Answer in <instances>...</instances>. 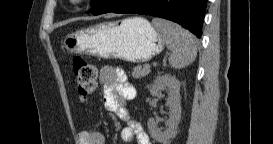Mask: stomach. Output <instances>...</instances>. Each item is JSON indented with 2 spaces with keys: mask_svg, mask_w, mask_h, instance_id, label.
Returning <instances> with one entry per match:
<instances>
[{
  "mask_svg": "<svg viewBox=\"0 0 273 144\" xmlns=\"http://www.w3.org/2000/svg\"><path fill=\"white\" fill-rule=\"evenodd\" d=\"M64 48L74 54L140 63L163 50L157 30L143 17L99 23L68 34Z\"/></svg>",
  "mask_w": 273,
  "mask_h": 144,
  "instance_id": "0dacf381",
  "label": "stomach"
}]
</instances>
